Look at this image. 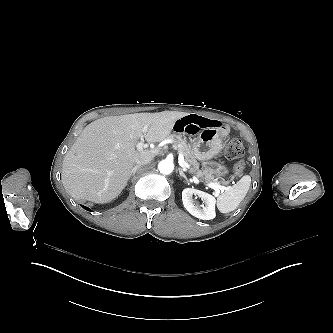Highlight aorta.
Wrapping results in <instances>:
<instances>
[{"instance_id":"762f6f07","label":"aorta","mask_w":333,"mask_h":333,"mask_svg":"<svg viewBox=\"0 0 333 333\" xmlns=\"http://www.w3.org/2000/svg\"><path fill=\"white\" fill-rule=\"evenodd\" d=\"M158 169H159L160 173L165 174V175L172 173V171L174 170L173 161L168 160V159H164V160L160 161L158 164Z\"/></svg>"}]
</instances>
